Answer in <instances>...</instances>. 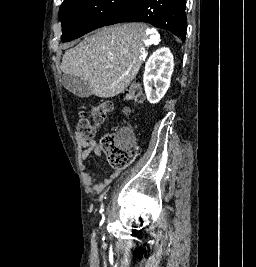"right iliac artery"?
Returning a JSON list of instances; mask_svg holds the SVG:
<instances>
[{"label": "right iliac artery", "mask_w": 256, "mask_h": 267, "mask_svg": "<svg viewBox=\"0 0 256 267\" xmlns=\"http://www.w3.org/2000/svg\"><path fill=\"white\" fill-rule=\"evenodd\" d=\"M103 211H104V209H103V208H101V210H100V213H103Z\"/></svg>", "instance_id": "82829eb1"}]
</instances>
